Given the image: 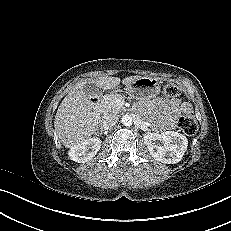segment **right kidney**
<instances>
[{
    "instance_id": "1",
    "label": "right kidney",
    "mask_w": 231,
    "mask_h": 231,
    "mask_svg": "<svg viewBox=\"0 0 231 231\" xmlns=\"http://www.w3.org/2000/svg\"><path fill=\"white\" fill-rule=\"evenodd\" d=\"M100 148L101 140L99 138H87L70 148L68 155L75 162L86 163L95 157Z\"/></svg>"
}]
</instances>
